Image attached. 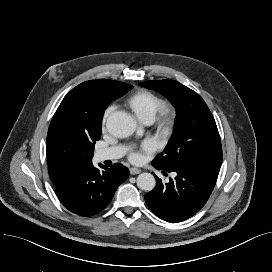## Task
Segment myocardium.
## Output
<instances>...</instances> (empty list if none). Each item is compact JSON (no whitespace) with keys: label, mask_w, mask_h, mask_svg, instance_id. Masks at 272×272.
<instances>
[{"label":"myocardium","mask_w":272,"mask_h":272,"mask_svg":"<svg viewBox=\"0 0 272 272\" xmlns=\"http://www.w3.org/2000/svg\"><path fill=\"white\" fill-rule=\"evenodd\" d=\"M177 119V109L171 103H163L156 116V123L161 131L168 132L175 125Z\"/></svg>","instance_id":"1"}]
</instances>
